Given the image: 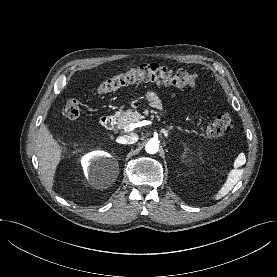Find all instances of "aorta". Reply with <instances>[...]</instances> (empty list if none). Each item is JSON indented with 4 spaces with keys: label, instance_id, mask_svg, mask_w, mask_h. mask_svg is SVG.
<instances>
[{
    "label": "aorta",
    "instance_id": "obj_1",
    "mask_svg": "<svg viewBox=\"0 0 277 277\" xmlns=\"http://www.w3.org/2000/svg\"><path fill=\"white\" fill-rule=\"evenodd\" d=\"M159 149V142L155 139H151L147 142L145 150L149 154H155Z\"/></svg>",
    "mask_w": 277,
    "mask_h": 277
}]
</instances>
